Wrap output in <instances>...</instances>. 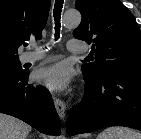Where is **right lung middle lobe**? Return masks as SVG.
I'll use <instances>...</instances> for the list:
<instances>
[{
    "instance_id": "right-lung-middle-lobe-1",
    "label": "right lung middle lobe",
    "mask_w": 141,
    "mask_h": 139,
    "mask_svg": "<svg viewBox=\"0 0 141 139\" xmlns=\"http://www.w3.org/2000/svg\"><path fill=\"white\" fill-rule=\"evenodd\" d=\"M26 72L22 69L19 57L0 56V76L10 77Z\"/></svg>"
}]
</instances>
